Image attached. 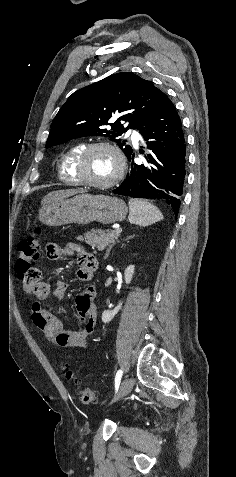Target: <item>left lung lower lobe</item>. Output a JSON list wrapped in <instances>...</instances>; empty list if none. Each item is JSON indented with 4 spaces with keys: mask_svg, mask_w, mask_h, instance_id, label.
<instances>
[{
    "mask_svg": "<svg viewBox=\"0 0 236 477\" xmlns=\"http://www.w3.org/2000/svg\"><path fill=\"white\" fill-rule=\"evenodd\" d=\"M142 136L150 150L145 154L148 164L134 163L133 152L128 157L130 173L113 192L135 198L160 199L177 216L186 176V145L177 110L163 92L157 113ZM140 153L144 154V151Z\"/></svg>",
    "mask_w": 236,
    "mask_h": 477,
    "instance_id": "left-lung-lower-lobe-1",
    "label": "left lung lower lobe"
}]
</instances>
